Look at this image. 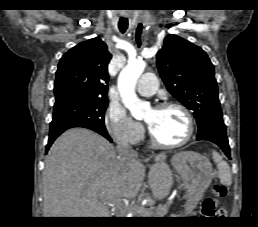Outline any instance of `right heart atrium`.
Returning <instances> with one entry per match:
<instances>
[{
	"mask_svg": "<svg viewBox=\"0 0 258 227\" xmlns=\"http://www.w3.org/2000/svg\"><path fill=\"white\" fill-rule=\"evenodd\" d=\"M105 127L112 139L119 144L134 146L144 136L142 125L134 121L119 105H111L107 109Z\"/></svg>",
	"mask_w": 258,
	"mask_h": 227,
	"instance_id": "1",
	"label": "right heart atrium"
}]
</instances>
